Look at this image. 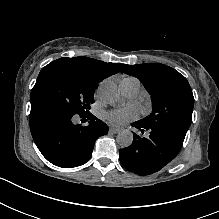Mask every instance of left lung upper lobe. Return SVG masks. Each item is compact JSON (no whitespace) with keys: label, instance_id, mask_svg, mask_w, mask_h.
<instances>
[{"label":"left lung upper lobe","instance_id":"left-lung-upper-lobe-1","mask_svg":"<svg viewBox=\"0 0 219 219\" xmlns=\"http://www.w3.org/2000/svg\"><path fill=\"white\" fill-rule=\"evenodd\" d=\"M122 72L138 78L151 95L152 113L139 122L185 136L192 122L194 106L187 79L175 69L157 63L125 65Z\"/></svg>","mask_w":219,"mask_h":219}]
</instances>
